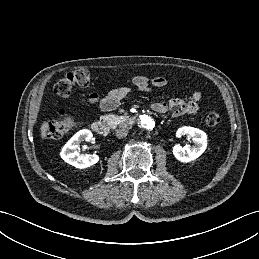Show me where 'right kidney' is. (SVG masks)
<instances>
[{
    "label": "right kidney",
    "mask_w": 259,
    "mask_h": 259,
    "mask_svg": "<svg viewBox=\"0 0 259 259\" xmlns=\"http://www.w3.org/2000/svg\"><path fill=\"white\" fill-rule=\"evenodd\" d=\"M92 132L88 129L78 131L62 148L61 158L70 165L84 169L96 164L99 156L96 154L80 155L77 152L79 144L83 141L89 142L92 139Z\"/></svg>",
    "instance_id": "ca27d5eb"
}]
</instances>
